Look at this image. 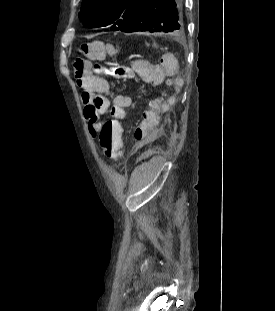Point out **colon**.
<instances>
[{"label":"colon","mask_w":275,"mask_h":311,"mask_svg":"<svg viewBox=\"0 0 275 311\" xmlns=\"http://www.w3.org/2000/svg\"><path fill=\"white\" fill-rule=\"evenodd\" d=\"M105 49L106 48L104 44L101 42L93 41L81 44L79 47V52L81 56L78 57L74 62L76 75L86 73L88 72V70H91L93 73L102 72L103 68L101 65L95 63L92 66H89L88 61L102 58L106 53ZM108 70L113 76L124 77L127 75L124 68L120 65H113ZM120 129L121 124L119 123L118 118H107L106 123L101 126V128L95 135L100 147L104 152V155L110 160H116L121 155V148L123 142L120 133L117 131Z\"/></svg>","instance_id":"5ec220e1"}]
</instances>
